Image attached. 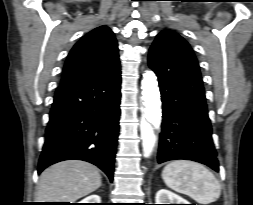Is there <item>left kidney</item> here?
<instances>
[{"label": "left kidney", "mask_w": 253, "mask_h": 205, "mask_svg": "<svg viewBox=\"0 0 253 205\" xmlns=\"http://www.w3.org/2000/svg\"><path fill=\"white\" fill-rule=\"evenodd\" d=\"M155 202V204H190L184 198L166 189H160L156 193Z\"/></svg>", "instance_id": "5707ae66"}]
</instances>
